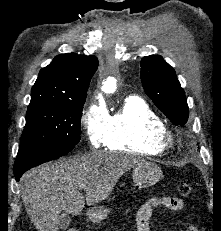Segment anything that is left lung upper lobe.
Here are the masks:
<instances>
[{"label":"left lung upper lobe","instance_id":"5c2ea615","mask_svg":"<svg viewBox=\"0 0 221 231\" xmlns=\"http://www.w3.org/2000/svg\"><path fill=\"white\" fill-rule=\"evenodd\" d=\"M140 65L146 94L173 124L184 125L189 108L174 69L160 55L143 57Z\"/></svg>","mask_w":221,"mask_h":231}]
</instances>
